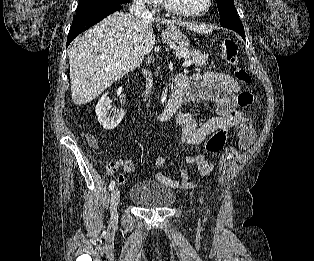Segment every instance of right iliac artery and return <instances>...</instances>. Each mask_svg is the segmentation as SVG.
<instances>
[{"mask_svg": "<svg viewBox=\"0 0 314 261\" xmlns=\"http://www.w3.org/2000/svg\"><path fill=\"white\" fill-rule=\"evenodd\" d=\"M114 187H115V181H111L110 184H109V189L113 190Z\"/></svg>", "mask_w": 314, "mask_h": 261, "instance_id": "82829eb1", "label": "right iliac artery"}]
</instances>
